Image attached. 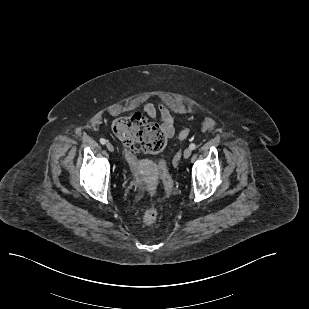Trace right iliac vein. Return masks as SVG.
Segmentation results:
<instances>
[{
    "label": "right iliac vein",
    "mask_w": 309,
    "mask_h": 309,
    "mask_svg": "<svg viewBox=\"0 0 309 309\" xmlns=\"http://www.w3.org/2000/svg\"><path fill=\"white\" fill-rule=\"evenodd\" d=\"M106 147H107V149H108L110 152H113V151H114V147H113V145H112L111 143H107V144H106Z\"/></svg>",
    "instance_id": "63e3f726"
}]
</instances>
